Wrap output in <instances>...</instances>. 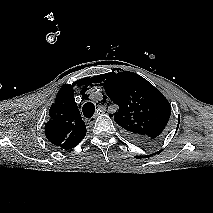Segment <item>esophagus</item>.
<instances>
[{"label":"esophagus","instance_id":"34e87169","mask_svg":"<svg viewBox=\"0 0 213 213\" xmlns=\"http://www.w3.org/2000/svg\"><path fill=\"white\" fill-rule=\"evenodd\" d=\"M99 109H100L101 112H106V111H107L106 107L103 106V105H99ZM96 117H97V115H95L94 117H92L91 119H89V120H88L89 123H92L93 120L96 119Z\"/></svg>","mask_w":213,"mask_h":213}]
</instances>
